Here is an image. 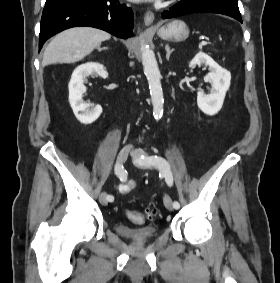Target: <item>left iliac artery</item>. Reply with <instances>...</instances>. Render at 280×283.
I'll use <instances>...</instances> for the list:
<instances>
[{
	"label": "left iliac artery",
	"mask_w": 280,
	"mask_h": 283,
	"mask_svg": "<svg viewBox=\"0 0 280 283\" xmlns=\"http://www.w3.org/2000/svg\"><path fill=\"white\" fill-rule=\"evenodd\" d=\"M141 162L156 166L160 170L161 174L165 177L166 183L169 186L173 185V175L170 169V165L166 161V159L157 155L151 157L141 156ZM173 206L175 209H178L180 207V204L179 202L174 201Z\"/></svg>",
	"instance_id": "left-iliac-artery-1"
}]
</instances>
